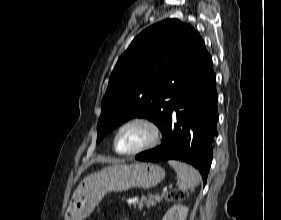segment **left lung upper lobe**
Instances as JSON below:
<instances>
[{
  "instance_id": "5c2ea615",
  "label": "left lung upper lobe",
  "mask_w": 281,
  "mask_h": 220,
  "mask_svg": "<svg viewBox=\"0 0 281 220\" xmlns=\"http://www.w3.org/2000/svg\"><path fill=\"white\" fill-rule=\"evenodd\" d=\"M206 52L199 33L178 19H165L143 30L119 57L109 78L97 141L136 116L161 130L180 82Z\"/></svg>"
}]
</instances>
